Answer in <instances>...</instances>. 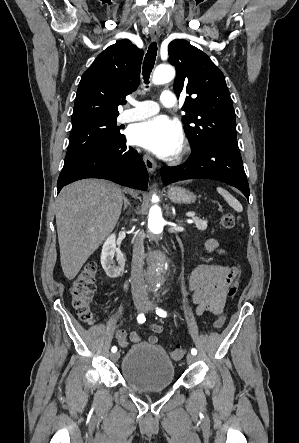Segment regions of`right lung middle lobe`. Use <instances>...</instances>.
Here are the masks:
<instances>
[{
    "label": "right lung middle lobe",
    "mask_w": 299,
    "mask_h": 443,
    "mask_svg": "<svg viewBox=\"0 0 299 443\" xmlns=\"http://www.w3.org/2000/svg\"><path fill=\"white\" fill-rule=\"evenodd\" d=\"M72 125L64 166L96 149L112 145L123 137L117 127L116 117L88 118Z\"/></svg>",
    "instance_id": "1"
}]
</instances>
